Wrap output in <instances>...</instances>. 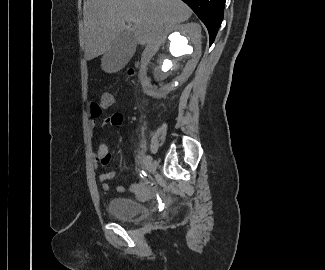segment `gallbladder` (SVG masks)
Listing matches in <instances>:
<instances>
[{"mask_svg": "<svg viewBox=\"0 0 325 270\" xmlns=\"http://www.w3.org/2000/svg\"><path fill=\"white\" fill-rule=\"evenodd\" d=\"M136 46V37L132 32L121 33L104 54L102 68L107 72L119 71L129 62Z\"/></svg>", "mask_w": 325, "mask_h": 270, "instance_id": "obj_1", "label": "gallbladder"}]
</instances>
